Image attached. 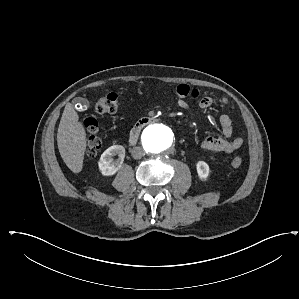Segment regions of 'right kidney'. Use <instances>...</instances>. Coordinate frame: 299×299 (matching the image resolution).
Here are the masks:
<instances>
[{
  "instance_id": "right-kidney-1",
  "label": "right kidney",
  "mask_w": 299,
  "mask_h": 299,
  "mask_svg": "<svg viewBox=\"0 0 299 299\" xmlns=\"http://www.w3.org/2000/svg\"><path fill=\"white\" fill-rule=\"evenodd\" d=\"M118 155L117 160L112 157ZM125 157V148L121 145H113L106 149L100 157L99 169L104 176L114 175L122 166Z\"/></svg>"
}]
</instances>
